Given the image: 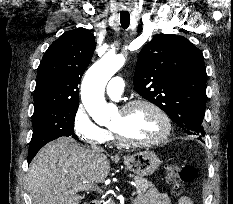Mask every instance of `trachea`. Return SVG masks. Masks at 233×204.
<instances>
[{
    "mask_svg": "<svg viewBox=\"0 0 233 204\" xmlns=\"http://www.w3.org/2000/svg\"><path fill=\"white\" fill-rule=\"evenodd\" d=\"M120 23L123 29H127L130 23V14L128 12L120 13Z\"/></svg>",
    "mask_w": 233,
    "mask_h": 204,
    "instance_id": "1",
    "label": "trachea"
}]
</instances>
